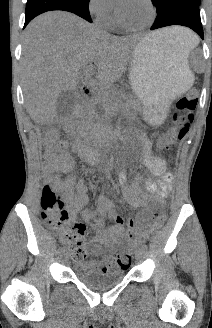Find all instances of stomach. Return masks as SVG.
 <instances>
[{"instance_id":"obj_1","label":"stomach","mask_w":212,"mask_h":328,"mask_svg":"<svg viewBox=\"0 0 212 328\" xmlns=\"http://www.w3.org/2000/svg\"><path fill=\"white\" fill-rule=\"evenodd\" d=\"M193 80L188 57L181 47L150 36L135 46L130 83L151 122L161 123L169 101L186 92Z\"/></svg>"}]
</instances>
